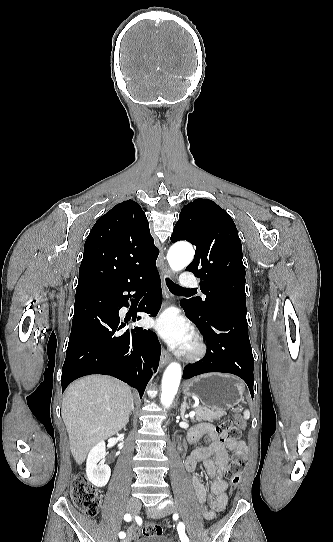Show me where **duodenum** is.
I'll return each mask as SVG.
<instances>
[{
    "label": "duodenum",
    "instance_id": "duodenum-1",
    "mask_svg": "<svg viewBox=\"0 0 333 542\" xmlns=\"http://www.w3.org/2000/svg\"><path fill=\"white\" fill-rule=\"evenodd\" d=\"M197 438H198V436H197L196 434L190 433V434L188 435V440H189L190 442H193V441L196 440Z\"/></svg>",
    "mask_w": 333,
    "mask_h": 542
}]
</instances>
